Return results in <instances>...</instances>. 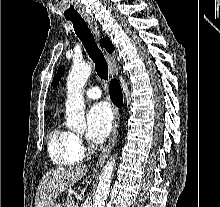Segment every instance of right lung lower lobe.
<instances>
[{
    "label": "right lung lower lobe",
    "mask_w": 220,
    "mask_h": 207,
    "mask_svg": "<svg viewBox=\"0 0 220 207\" xmlns=\"http://www.w3.org/2000/svg\"><path fill=\"white\" fill-rule=\"evenodd\" d=\"M110 96L114 104L117 106L122 105L123 96L121 87L116 79L111 80L110 82Z\"/></svg>",
    "instance_id": "1"
}]
</instances>
